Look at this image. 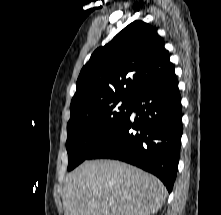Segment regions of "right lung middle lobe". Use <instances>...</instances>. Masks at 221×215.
<instances>
[{"label":"right lung middle lobe","mask_w":221,"mask_h":215,"mask_svg":"<svg viewBox=\"0 0 221 215\" xmlns=\"http://www.w3.org/2000/svg\"><path fill=\"white\" fill-rule=\"evenodd\" d=\"M133 100L110 99L70 106L67 124L68 170L87 159L131 111Z\"/></svg>","instance_id":"right-lung-middle-lobe-1"}]
</instances>
